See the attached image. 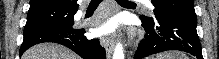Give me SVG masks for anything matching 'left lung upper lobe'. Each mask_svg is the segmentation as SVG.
Wrapping results in <instances>:
<instances>
[{"mask_svg": "<svg viewBox=\"0 0 219 59\" xmlns=\"http://www.w3.org/2000/svg\"><path fill=\"white\" fill-rule=\"evenodd\" d=\"M152 4L155 7L154 18L142 15L141 19L154 21L158 15L173 13L188 4H193V0H152Z\"/></svg>", "mask_w": 219, "mask_h": 59, "instance_id": "5c2ea615", "label": "left lung upper lobe"}]
</instances>
